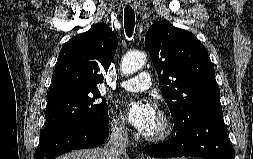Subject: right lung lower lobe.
Returning <instances> with one entry per match:
<instances>
[{
  "label": "right lung lower lobe",
  "mask_w": 253,
  "mask_h": 159,
  "mask_svg": "<svg viewBox=\"0 0 253 159\" xmlns=\"http://www.w3.org/2000/svg\"><path fill=\"white\" fill-rule=\"evenodd\" d=\"M108 122L105 124L82 122L66 127L40 140L34 159H54L75 149L99 146L108 138Z\"/></svg>",
  "instance_id": "obj_1"
}]
</instances>
